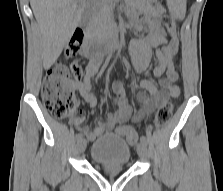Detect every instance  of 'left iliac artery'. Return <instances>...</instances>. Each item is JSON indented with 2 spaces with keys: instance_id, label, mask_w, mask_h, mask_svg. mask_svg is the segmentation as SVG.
I'll use <instances>...</instances> for the list:
<instances>
[{
  "instance_id": "44dca946",
  "label": "left iliac artery",
  "mask_w": 223,
  "mask_h": 191,
  "mask_svg": "<svg viewBox=\"0 0 223 191\" xmlns=\"http://www.w3.org/2000/svg\"><path fill=\"white\" fill-rule=\"evenodd\" d=\"M140 141H141L142 143H144V144L147 145V139H146L145 136H141V137H140Z\"/></svg>"
}]
</instances>
